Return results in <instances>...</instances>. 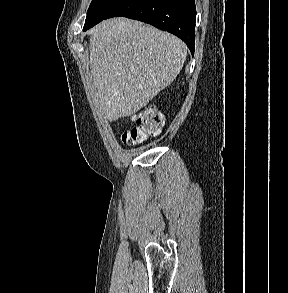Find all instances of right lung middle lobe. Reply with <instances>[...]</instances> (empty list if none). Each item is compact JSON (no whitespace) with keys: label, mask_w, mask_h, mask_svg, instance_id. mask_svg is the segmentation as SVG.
I'll return each mask as SVG.
<instances>
[{"label":"right lung middle lobe","mask_w":288,"mask_h":293,"mask_svg":"<svg viewBox=\"0 0 288 293\" xmlns=\"http://www.w3.org/2000/svg\"><path fill=\"white\" fill-rule=\"evenodd\" d=\"M124 0H92L83 30L105 19Z\"/></svg>","instance_id":"right-lung-middle-lobe-1"}]
</instances>
